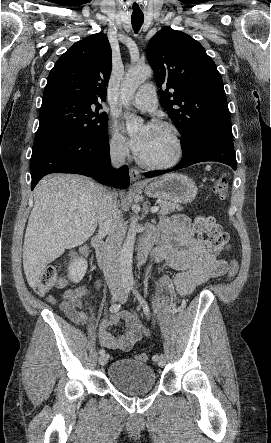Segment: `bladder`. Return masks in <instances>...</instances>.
Returning a JSON list of instances; mask_svg holds the SVG:
<instances>
[{"mask_svg": "<svg viewBox=\"0 0 271 443\" xmlns=\"http://www.w3.org/2000/svg\"><path fill=\"white\" fill-rule=\"evenodd\" d=\"M108 378L117 389L129 395L148 393L156 386L153 368L129 358L112 362L108 368Z\"/></svg>", "mask_w": 271, "mask_h": 443, "instance_id": "bladder-1", "label": "bladder"}]
</instances>
